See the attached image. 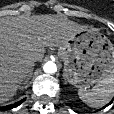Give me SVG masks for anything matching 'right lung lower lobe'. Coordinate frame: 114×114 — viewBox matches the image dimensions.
<instances>
[{"mask_svg": "<svg viewBox=\"0 0 114 114\" xmlns=\"http://www.w3.org/2000/svg\"><path fill=\"white\" fill-rule=\"evenodd\" d=\"M24 100L25 99L20 100L19 102H16V103L8 105V106H5V107L0 108V109H12V108L17 107L18 105H20Z\"/></svg>", "mask_w": 114, "mask_h": 114, "instance_id": "obj_1", "label": "right lung lower lobe"}]
</instances>
